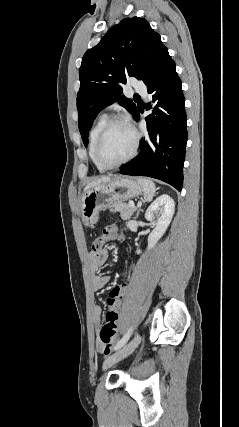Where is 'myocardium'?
Here are the masks:
<instances>
[{
    "label": "myocardium",
    "mask_w": 239,
    "mask_h": 427,
    "mask_svg": "<svg viewBox=\"0 0 239 427\" xmlns=\"http://www.w3.org/2000/svg\"><path fill=\"white\" fill-rule=\"evenodd\" d=\"M118 124H123L125 126H127L133 133L134 135V143H133V147L130 151V153L122 160L116 162V163H107L105 161L102 160L101 156H100V150H101V146L102 143L104 141V138L106 137L107 133L109 132V130L114 127L115 125ZM140 133L137 130V128L132 124V122L124 117V116H115L110 118L105 125L102 127V129L100 130L96 142H95V147H94V157L96 162L104 169H115L118 168L126 163H128L129 161H131L137 154L138 152V148H139V144H140Z\"/></svg>",
    "instance_id": "obj_1"
}]
</instances>
